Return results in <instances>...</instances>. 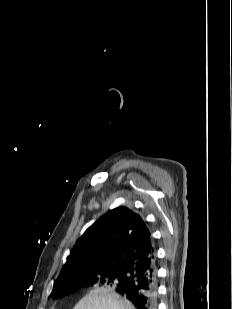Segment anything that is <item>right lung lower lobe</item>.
<instances>
[{
  "label": "right lung lower lobe",
  "instance_id": "obj_1",
  "mask_svg": "<svg viewBox=\"0 0 232 309\" xmlns=\"http://www.w3.org/2000/svg\"><path fill=\"white\" fill-rule=\"evenodd\" d=\"M116 291L137 309H157V274L155 256L136 262L128 270V280Z\"/></svg>",
  "mask_w": 232,
  "mask_h": 309
}]
</instances>
